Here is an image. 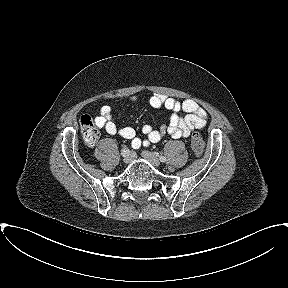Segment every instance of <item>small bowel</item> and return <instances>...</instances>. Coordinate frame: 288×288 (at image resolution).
<instances>
[{
  "label": "small bowel",
  "instance_id": "small-bowel-1",
  "mask_svg": "<svg viewBox=\"0 0 288 288\" xmlns=\"http://www.w3.org/2000/svg\"><path fill=\"white\" fill-rule=\"evenodd\" d=\"M135 100V97L132 98ZM149 104L155 109H166L171 112L166 124H162L157 130L150 125H145L142 129L146 139L142 140L136 136L133 128L125 126L119 127L114 121L112 110L109 106H103L100 114L95 118V124L103 128L110 135H118L124 139L131 140V146L139 149L142 145L160 141L165 134L175 139L187 138L195 129H203L207 122L206 111L194 100L187 99L179 102L164 95H154L150 98ZM181 112L187 113L182 117Z\"/></svg>",
  "mask_w": 288,
  "mask_h": 288
}]
</instances>
